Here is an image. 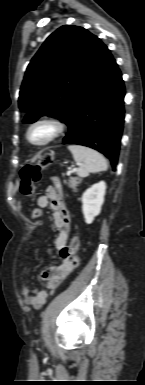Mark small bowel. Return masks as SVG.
<instances>
[{"label": "small bowel", "instance_id": "obj_1", "mask_svg": "<svg viewBox=\"0 0 145 385\" xmlns=\"http://www.w3.org/2000/svg\"><path fill=\"white\" fill-rule=\"evenodd\" d=\"M37 205L40 208L50 207L53 211L54 225L57 230L54 247L56 250H60L67 244L70 236V214L62 197L59 180L51 179L46 193L37 199ZM38 224L41 225L42 223ZM48 254L53 257L51 249L48 250ZM73 270L72 263L63 260L60 265L49 267L42 272V279L46 282L44 288L34 289L24 284L20 291L24 305L33 309L41 308L47 302L48 295L52 294ZM24 274H26V269Z\"/></svg>", "mask_w": 145, "mask_h": 385}]
</instances>
